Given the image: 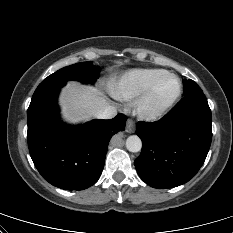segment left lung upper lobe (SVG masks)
I'll return each mask as SVG.
<instances>
[{"label": "left lung upper lobe", "instance_id": "1", "mask_svg": "<svg viewBox=\"0 0 233 233\" xmlns=\"http://www.w3.org/2000/svg\"><path fill=\"white\" fill-rule=\"evenodd\" d=\"M184 96L203 94L202 89L193 80H183Z\"/></svg>", "mask_w": 233, "mask_h": 233}]
</instances>
